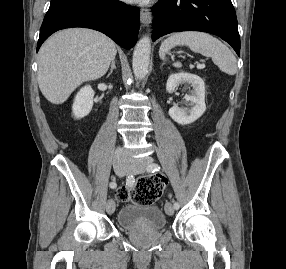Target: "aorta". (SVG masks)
Wrapping results in <instances>:
<instances>
[{
    "mask_svg": "<svg viewBox=\"0 0 286 269\" xmlns=\"http://www.w3.org/2000/svg\"><path fill=\"white\" fill-rule=\"evenodd\" d=\"M151 53V42L148 36L142 37L135 46L133 52L132 67L138 79L145 77L148 71Z\"/></svg>",
    "mask_w": 286,
    "mask_h": 269,
    "instance_id": "762f6f07",
    "label": "aorta"
}]
</instances>
